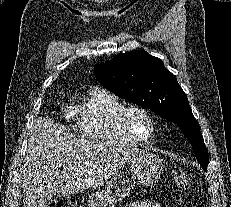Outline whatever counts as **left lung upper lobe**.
Returning <instances> with one entry per match:
<instances>
[{
    "instance_id": "left-lung-upper-lobe-1",
    "label": "left lung upper lobe",
    "mask_w": 231,
    "mask_h": 207,
    "mask_svg": "<svg viewBox=\"0 0 231 207\" xmlns=\"http://www.w3.org/2000/svg\"><path fill=\"white\" fill-rule=\"evenodd\" d=\"M96 79L118 97L149 108L176 123L191 144L201 167L207 171L208 150L187 96L163 62L145 50L118 54L94 68Z\"/></svg>"
}]
</instances>
